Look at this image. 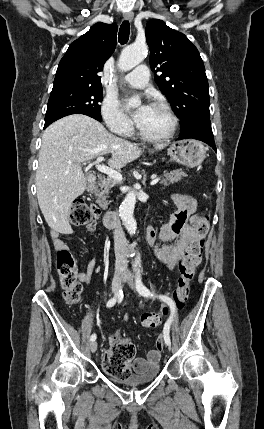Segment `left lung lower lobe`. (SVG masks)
<instances>
[{"mask_svg": "<svg viewBox=\"0 0 264 429\" xmlns=\"http://www.w3.org/2000/svg\"><path fill=\"white\" fill-rule=\"evenodd\" d=\"M193 138L207 143L216 151L214 136L210 121L199 122L193 129L185 134H181L178 139Z\"/></svg>", "mask_w": 264, "mask_h": 429, "instance_id": "left-lung-lower-lobe-1", "label": "left lung lower lobe"}]
</instances>
